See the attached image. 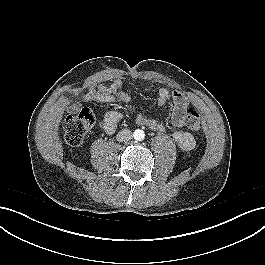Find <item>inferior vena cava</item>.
Returning <instances> with one entry per match:
<instances>
[{
  "label": "inferior vena cava",
  "mask_w": 265,
  "mask_h": 265,
  "mask_svg": "<svg viewBox=\"0 0 265 265\" xmlns=\"http://www.w3.org/2000/svg\"><path fill=\"white\" fill-rule=\"evenodd\" d=\"M118 142L128 141L132 139V132L128 129H122L119 131L116 137Z\"/></svg>",
  "instance_id": "602c4592"
}]
</instances>
